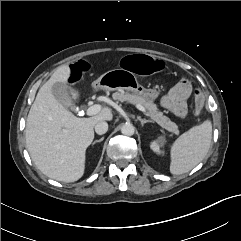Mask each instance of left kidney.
<instances>
[{
	"label": "left kidney",
	"instance_id": "5707ae66",
	"mask_svg": "<svg viewBox=\"0 0 241 241\" xmlns=\"http://www.w3.org/2000/svg\"><path fill=\"white\" fill-rule=\"evenodd\" d=\"M164 143H165V138L161 136V137H159L157 140H155V141H153V142L151 143L150 148H151L154 152L160 154V153H162V151L160 150V148L164 145Z\"/></svg>",
	"mask_w": 241,
	"mask_h": 241
}]
</instances>
